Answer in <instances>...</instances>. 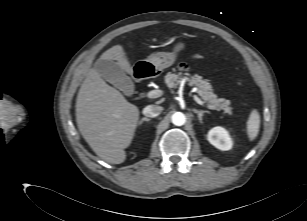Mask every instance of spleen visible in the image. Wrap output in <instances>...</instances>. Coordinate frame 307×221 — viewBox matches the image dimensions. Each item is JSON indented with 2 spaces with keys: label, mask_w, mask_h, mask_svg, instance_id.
Here are the masks:
<instances>
[{
  "label": "spleen",
  "mask_w": 307,
  "mask_h": 221,
  "mask_svg": "<svg viewBox=\"0 0 307 221\" xmlns=\"http://www.w3.org/2000/svg\"><path fill=\"white\" fill-rule=\"evenodd\" d=\"M246 126L248 138L253 141L257 137L260 128V115L256 109L251 111Z\"/></svg>",
  "instance_id": "3e777b00"
}]
</instances>
